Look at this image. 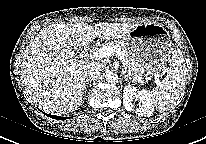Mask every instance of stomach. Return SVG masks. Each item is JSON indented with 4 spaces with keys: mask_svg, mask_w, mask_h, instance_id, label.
<instances>
[{
    "mask_svg": "<svg viewBox=\"0 0 206 144\" xmlns=\"http://www.w3.org/2000/svg\"><path fill=\"white\" fill-rule=\"evenodd\" d=\"M130 54L137 60L144 76L161 75L172 54L169 31L159 23L138 24L123 38Z\"/></svg>",
    "mask_w": 206,
    "mask_h": 144,
    "instance_id": "obj_1",
    "label": "stomach"
}]
</instances>
